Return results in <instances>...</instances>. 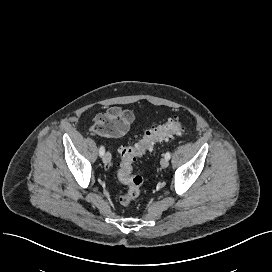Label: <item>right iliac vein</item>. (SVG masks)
<instances>
[{
  "label": "right iliac vein",
  "mask_w": 272,
  "mask_h": 272,
  "mask_svg": "<svg viewBox=\"0 0 272 272\" xmlns=\"http://www.w3.org/2000/svg\"><path fill=\"white\" fill-rule=\"evenodd\" d=\"M110 161H111V154L109 152H106L103 156V162L105 164H108L110 163Z\"/></svg>",
  "instance_id": "right-iliac-vein-1"
}]
</instances>
